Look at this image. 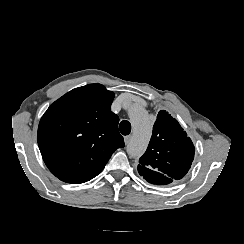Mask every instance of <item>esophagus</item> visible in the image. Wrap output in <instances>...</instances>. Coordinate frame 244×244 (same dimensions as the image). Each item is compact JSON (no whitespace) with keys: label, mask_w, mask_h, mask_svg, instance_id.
<instances>
[{"label":"esophagus","mask_w":244,"mask_h":244,"mask_svg":"<svg viewBox=\"0 0 244 244\" xmlns=\"http://www.w3.org/2000/svg\"><path fill=\"white\" fill-rule=\"evenodd\" d=\"M124 141H125V144H126V145L129 144L130 141H131V135H127V136H125V137H124Z\"/></svg>","instance_id":"1"}]
</instances>
